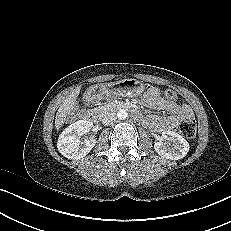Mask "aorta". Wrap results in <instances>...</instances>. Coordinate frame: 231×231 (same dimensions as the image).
Returning a JSON list of instances; mask_svg holds the SVG:
<instances>
[{"label": "aorta", "instance_id": "obj_1", "mask_svg": "<svg viewBox=\"0 0 231 231\" xmlns=\"http://www.w3.org/2000/svg\"><path fill=\"white\" fill-rule=\"evenodd\" d=\"M128 116V113L125 109H120L118 112H117V117L120 119V120H125Z\"/></svg>", "mask_w": 231, "mask_h": 231}]
</instances>
